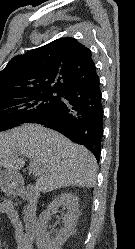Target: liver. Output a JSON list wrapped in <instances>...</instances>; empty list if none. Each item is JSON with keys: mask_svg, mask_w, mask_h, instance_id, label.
Masks as SVG:
<instances>
[{"mask_svg": "<svg viewBox=\"0 0 135 249\" xmlns=\"http://www.w3.org/2000/svg\"><path fill=\"white\" fill-rule=\"evenodd\" d=\"M24 158L38 163L35 190L39 192L95 185L98 165L94 155L41 125L24 124L0 133V168L18 172Z\"/></svg>", "mask_w": 135, "mask_h": 249, "instance_id": "liver-1", "label": "liver"}]
</instances>
